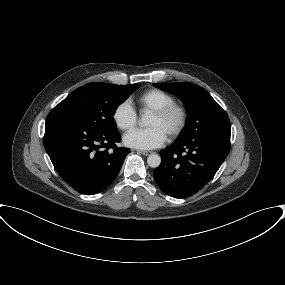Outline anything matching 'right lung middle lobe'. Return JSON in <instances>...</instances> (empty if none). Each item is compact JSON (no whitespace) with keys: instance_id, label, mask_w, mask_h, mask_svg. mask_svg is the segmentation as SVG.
Listing matches in <instances>:
<instances>
[{"instance_id":"dd1d6c3e","label":"right lung middle lobe","mask_w":285,"mask_h":285,"mask_svg":"<svg viewBox=\"0 0 285 285\" xmlns=\"http://www.w3.org/2000/svg\"><path fill=\"white\" fill-rule=\"evenodd\" d=\"M139 87L88 83L70 93L51 113L68 115L97 131L113 132L117 130L113 118L117 107Z\"/></svg>"}]
</instances>
